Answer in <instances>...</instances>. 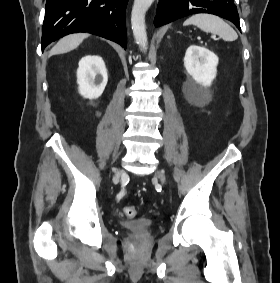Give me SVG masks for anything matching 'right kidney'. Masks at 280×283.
I'll return each instance as SVG.
<instances>
[{
	"instance_id": "1",
	"label": "right kidney",
	"mask_w": 280,
	"mask_h": 283,
	"mask_svg": "<svg viewBox=\"0 0 280 283\" xmlns=\"http://www.w3.org/2000/svg\"><path fill=\"white\" fill-rule=\"evenodd\" d=\"M108 82V73L100 56L88 55L79 61L77 83L84 98L96 99L101 96Z\"/></svg>"
}]
</instances>
